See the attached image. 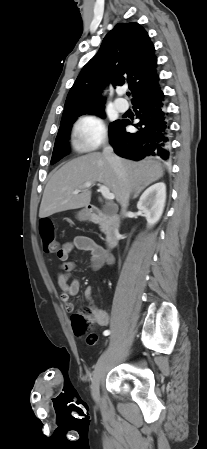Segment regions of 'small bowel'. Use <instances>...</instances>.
<instances>
[{
    "label": "small bowel",
    "instance_id": "1",
    "mask_svg": "<svg viewBox=\"0 0 207 449\" xmlns=\"http://www.w3.org/2000/svg\"><path fill=\"white\" fill-rule=\"evenodd\" d=\"M74 250L88 251L91 253V268L93 270L100 269L104 264H112L113 257L102 246L96 244L91 238L86 236H78L71 242L62 245L58 251V257L63 263L60 265L61 271L57 274L56 284L61 291L60 298L65 304L68 312L74 310V304L69 301L70 297L78 294L80 289V282L73 279L69 282L71 273L75 268V263L69 260L70 255ZM86 299L89 301L92 316L91 320L102 326H107L110 322V316L107 312L100 310L93 301L92 290L87 287L84 291Z\"/></svg>",
    "mask_w": 207,
    "mask_h": 449
}]
</instances>
